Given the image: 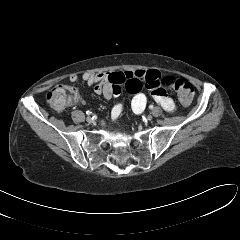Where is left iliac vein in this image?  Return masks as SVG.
I'll return each mask as SVG.
<instances>
[{
	"instance_id": "1",
	"label": "left iliac vein",
	"mask_w": 240,
	"mask_h": 240,
	"mask_svg": "<svg viewBox=\"0 0 240 240\" xmlns=\"http://www.w3.org/2000/svg\"><path fill=\"white\" fill-rule=\"evenodd\" d=\"M146 118L148 121H150V120H152V115H148Z\"/></svg>"
}]
</instances>
